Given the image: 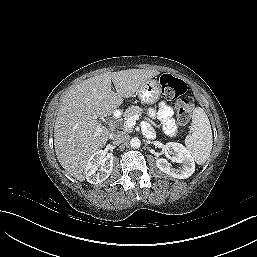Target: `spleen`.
I'll return each mask as SVG.
<instances>
[{"instance_id": "1", "label": "spleen", "mask_w": 257, "mask_h": 257, "mask_svg": "<svg viewBox=\"0 0 257 257\" xmlns=\"http://www.w3.org/2000/svg\"><path fill=\"white\" fill-rule=\"evenodd\" d=\"M192 134L185 138V145L197 164H204L212 150V130L208 116L197 107L192 113Z\"/></svg>"}]
</instances>
